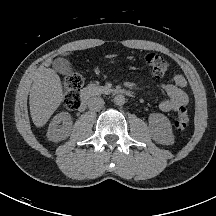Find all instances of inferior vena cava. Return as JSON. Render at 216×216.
<instances>
[{"instance_id":"inferior-vena-cava-1","label":"inferior vena cava","mask_w":216,"mask_h":216,"mask_svg":"<svg viewBox=\"0 0 216 216\" xmlns=\"http://www.w3.org/2000/svg\"><path fill=\"white\" fill-rule=\"evenodd\" d=\"M104 106V100L101 97H92L88 100L90 110L99 111Z\"/></svg>"}]
</instances>
